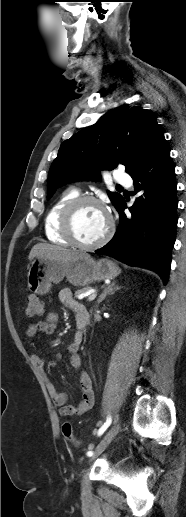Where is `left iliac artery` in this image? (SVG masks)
Masks as SVG:
<instances>
[{"mask_svg":"<svg viewBox=\"0 0 186 517\" xmlns=\"http://www.w3.org/2000/svg\"><path fill=\"white\" fill-rule=\"evenodd\" d=\"M111 422H112V418H111V416L109 415V416L107 417V420L105 421V423H104V424L101 426V428L99 429V431H98V436H101V435L106 431V429L110 426ZM92 455H93V451H91V450H90V451H88V452H87V456H89V457H90V456H92Z\"/></svg>","mask_w":186,"mask_h":517,"instance_id":"44dca946","label":"left iliac artery"}]
</instances>
